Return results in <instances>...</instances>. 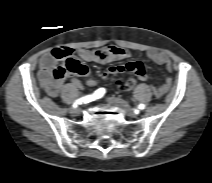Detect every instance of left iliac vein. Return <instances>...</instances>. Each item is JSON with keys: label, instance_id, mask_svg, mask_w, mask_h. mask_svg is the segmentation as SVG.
Returning a JSON list of instances; mask_svg holds the SVG:
<instances>
[{"label": "left iliac vein", "instance_id": "obj_1", "mask_svg": "<svg viewBox=\"0 0 212 183\" xmlns=\"http://www.w3.org/2000/svg\"><path fill=\"white\" fill-rule=\"evenodd\" d=\"M108 102H109L110 104H112V105H114V106H117V107H119L120 109L124 110L125 113H126L128 116H131V117H135V116H136V113L133 112V111L130 109L129 105H128L125 101H123L122 99L116 98V97H113V96H112V97H109V98H108Z\"/></svg>", "mask_w": 212, "mask_h": 183}]
</instances>
